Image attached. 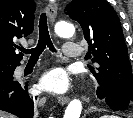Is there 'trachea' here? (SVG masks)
Returning a JSON list of instances; mask_svg holds the SVG:
<instances>
[{
    "label": "trachea",
    "mask_w": 133,
    "mask_h": 118,
    "mask_svg": "<svg viewBox=\"0 0 133 118\" xmlns=\"http://www.w3.org/2000/svg\"><path fill=\"white\" fill-rule=\"evenodd\" d=\"M46 46L49 47L52 52H56L49 35L46 14L42 13L39 21V40L37 46L32 49L21 48L20 50L23 53L31 54L30 60H37Z\"/></svg>",
    "instance_id": "obj_1"
}]
</instances>
